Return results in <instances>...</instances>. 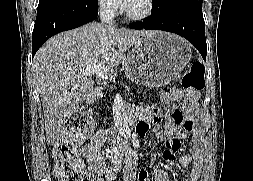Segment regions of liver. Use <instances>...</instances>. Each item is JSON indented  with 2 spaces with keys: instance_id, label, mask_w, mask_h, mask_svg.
<instances>
[{
  "instance_id": "6515ba94",
  "label": "liver",
  "mask_w": 253,
  "mask_h": 181,
  "mask_svg": "<svg viewBox=\"0 0 253 181\" xmlns=\"http://www.w3.org/2000/svg\"><path fill=\"white\" fill-rule=\"evenodd\" d=\"M153 31L129 30L88 23L50 38L36 53L33 80L44 112L46 139L53 145L65 123L94 92L87 66L124 63L125 51Z\"/></svg>"
}]
</instances>
